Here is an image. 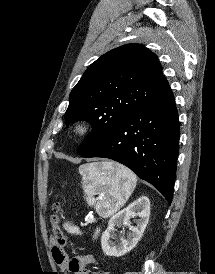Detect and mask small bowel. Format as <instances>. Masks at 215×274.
<instances>
[{
	"mask_svg": "<svg viewBox=\"0 0 215 274\" xmlns=\"http://www.w3.org/2000/svg\"><path fill=\"white\" fill-rule=\"evenodd\" d=\"M52 256L58 267L63 272H69L72 274H89L88 270L89 265H98L97 260L93 255H76L73 258H70L64 246L59 245L52 241ZM92 274H104L103 272L96 271Z\"/></svg>",
	"mask_w": 215,
	"mask_h": 274,
	"instance_id": "obj_1",
	"label": "small bowel"
}]
</instances>
